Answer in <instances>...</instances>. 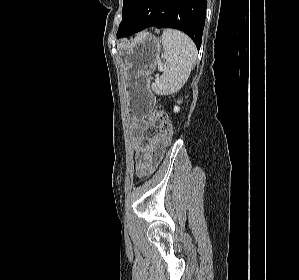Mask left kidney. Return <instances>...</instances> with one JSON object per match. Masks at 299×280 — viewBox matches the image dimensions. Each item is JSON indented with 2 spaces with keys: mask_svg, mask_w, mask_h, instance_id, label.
Wrapping results in <instances>:
<instances>
[{
  "mask_svg": "<svg viewBox=\"0 0 299 280\" xmlns=\"http://www.w3.org/2000/svg\"><path fill=\"white\" fill-rule=\"evenodd\" d=\"M181 103V100L180 101H178V104H180ZM180 110V108L178 107V106H175L174 107V112L176 113V112H178Z\"/></svg>",
  "mask_w": 299,
  "mask_h": 280,
  "instance_id": "left-kidney-1",
  "label": "left kidney"
}]
</instances>
